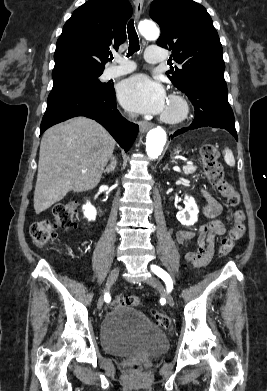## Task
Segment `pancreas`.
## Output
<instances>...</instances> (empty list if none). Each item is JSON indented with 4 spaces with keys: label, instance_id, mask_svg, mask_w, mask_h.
I'll list each match as a JSON object with an SVG mask.
<instances>
[{
    "label": "pancreas",
    "instance_id": "obj_1",
    "mask_svg": "<svg viewBox=\"0 0 267 391\" xmlns=\"http://www.w3.org/2000/svg\"><path fill=\"white\" fill-rule=\"evenodd\" d=\"M195 170H196L195 166H191V165L183 166V172L186 175L194 173Z\"/></svg>",
    "mask_w": 267,
    "mask_h": 391
}]
</instances>
